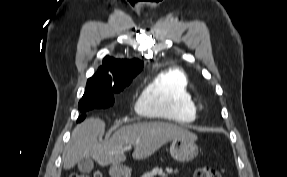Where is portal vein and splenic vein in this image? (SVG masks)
Wrapping results in <instances>:
<instances>
[{"label": "portal vein and splenic vein", "mask_w": 287, "mask_h": 177, "mask_svg": "<svg viewBox=\"0 0 287 177\" xmlns=\"http://www.w3.org/2000/svg\"><path fill=\"white\" fill-rule=\"evenodd\" d=\"M131 149V145H128L124 148V150H130Z\"/></svg>", "instance_id": "18ae733b"}]
</instances>
